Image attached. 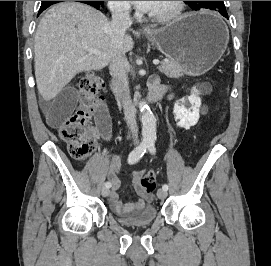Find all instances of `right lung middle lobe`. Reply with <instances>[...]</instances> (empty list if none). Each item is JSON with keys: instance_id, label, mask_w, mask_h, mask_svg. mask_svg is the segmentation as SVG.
<instances>
[{"instance_id": "1", "label": "right lung middle lobe", "mask_w": 271, "mask_h": 266, "mask_svg": "<svg viewBox=\"0 0 271 266\" xmlns=\"http://www.w3.org/2000/svg\"><path fill=\"white\" fill-rule=\"evenodd\" d=\"M54 2H56V1H42V4H41V5L47 4V3H54Z\"/></svg>"}]
</instances>
